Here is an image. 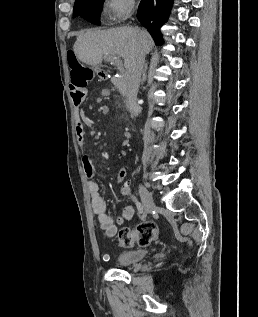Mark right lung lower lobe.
<instances>
[{
	"instance_id": "right-lung-lower-lobe-1",
	"label": "right lung lower lobe",
	"mask_w": 258,
	"mask_h": 317,
	"mask_svg": "<svg viewBox=\"0 0 258 317\" xmlns=\"http://www.w3.org/2000/svg\"><path fill=\"white\" fill-rule=\"evenodd\" d=\"M173 0H141L137 18L152 35L156 45H162L159 28L167 21Z\"/></svg>"
}]
</instances>
